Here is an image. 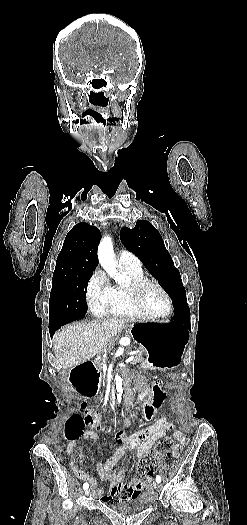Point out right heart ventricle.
<instances>
[{
    "instance_id": "right-heart-ventricle-1",
    "label": "right heart ventricle",
    "mask_w": 247,
    "mask_h": 525,
    "mask_svg": "<svg viewBox=\"0 0 247 525\" xmlns=\"http://www.w3.org/2000/svg\"><path fill=\"white\" fill-rule=\"evenodd\" d=\"M131 257L134 264H129L119 259V265L125 275V282L113 287L116 297L125 299L126 301L113 302L101 317H147L135 307L133 298L126 288L128 280L135 281L145 277L141 269L140 261L133 254Z\"/></svg>"
}]
</instances>
